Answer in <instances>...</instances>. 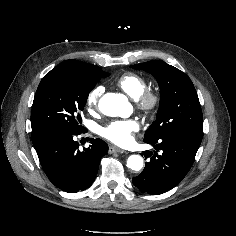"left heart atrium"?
I'll return each mask as SVG.
<instances>
[{"label":"left heart atrium","mask_w":236,"mask_h":236,"mask_svg":"<svg viewBox=\"0 0 236 236\" xmlns=\"http://www.w3.org/2000/svg\"><path fill=\"white\" fill-rule=\"evenodd\" d=\"M138 130L139 124L135 120H117L103 127L101 135L117 145L125 146L131 143L133 133Z\"/></svg>","instance_id":"left-heart-atrium-1"}]
</instances>
